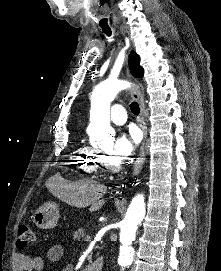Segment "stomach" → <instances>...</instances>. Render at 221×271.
Here are the masks:
<instances>
[{
  "mask_svg": "<svg viewBox=\"0 0 221 271\" xmlns=\"http://www.w3.org/2000/svg\"><path fill=\"white\" fill-rule=\"evenodd\" d=\"M59 217V209L57 203L54 201H47L41 207L36 209L33 215V221L37 227H55Z\"/></svg>",
  "mask_w": 221,
  "mask_h": 271,
  "instance_id": "1",
  "label": "stomach"
}]
</instances>
